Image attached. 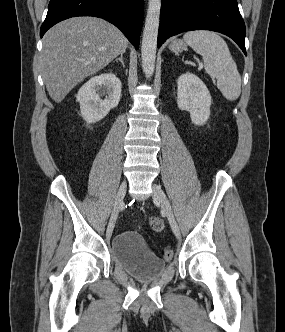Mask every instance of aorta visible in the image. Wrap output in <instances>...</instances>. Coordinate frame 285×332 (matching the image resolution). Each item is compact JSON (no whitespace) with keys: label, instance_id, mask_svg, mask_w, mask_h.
<instances>
[{"label":"aorta","instance_id":"762f6f07","mask_svg":"<svg viewBox=\"0 0 285 332\" xmlns=\"http://www.w3.org/2000/svg\"><path fill=\"white\" fill-rule=\"evenodd\" d=\"M160 9L161 0H149L141 45L142 68L147 78L155 68Z\"/></svg>","mask_w":285,"mask_h":332}]
</instances>
